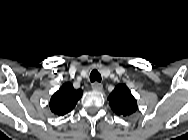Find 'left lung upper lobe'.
I'll list each match as a JSON object with an SVG mask.
<instances>
[{"label":"left lung upper lobe","instance_id":"1","mask_svg":"<svg viewBox=\"0 0 188 140\" xmlns=\"http://www.w3.org/2000/svg\"><path fill=\"white\" fill-rule=\"evenodd\" d=\"M108 100L113 112L122 117L130 116L138 108L136 99L124 84L117 85Z\"/></svg>","mask_w":188,"mask_h":140}]
</instances>
